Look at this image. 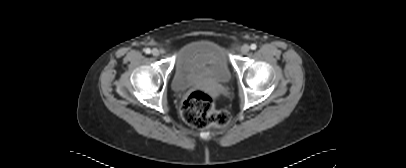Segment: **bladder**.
Listing matches in <instances>:
<instances>
[{"mask_svg":"<svg viewBox=\"0 0 406 168\" xmlns=\"http://www.w3.org/2000/svg\"><path fill=\"white\" fill-rule=\"evenodd\" d=\"M204 79L226 83L230 79V70L220 46L213 41L199 39L180 49L172 87L181 92Z\"/></svg>","mask_w":406,"mask_h":168,"instance_id":"1","label":"bladder"}]
</instances>
